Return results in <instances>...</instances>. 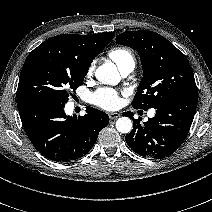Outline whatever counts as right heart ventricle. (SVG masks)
<instances>
[{
	"label": "right heart ventricle",
	"instance_id": "obj_1",
	"mask_svg": "<svg viewBox=\"0 0 212 212\" xmlns=\"http://www.w3.org/2000/svg\"><path fill=\"white\" fill-rule=\"evenodd\" d=\"M108 56L116 63L120 70L131 63L135 64V59L132 52L124 47H116L111 49L108 52Z\"/></svg>",
	"mask_w": 212,
	"mask_h": 212
}]
</instances>
